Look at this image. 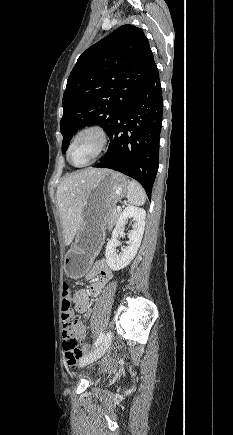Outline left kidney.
<instances>
[{
  "instance_id": "obj_1",
  "label": "left kidney",
  "mask_w": 233,
  "mask_h": 435,
  "mask_svg": "<svg viewBox=\"0 0 233 435\" xmlns=\"http://www.w3.org/2000/svg\"><path fill=\"white\" fill-rule=\"evenodd\" d=\"M128 218H132L134 222L132 230L128 233V246L123 248L120 254H117V247L119 245L117 238ZM145 218V210L135 206H127L120 214L116 227L112 232V238L107 243L105 252L107 264L112 270L118 271L123 269L135 257L142 241Z\"/></svg>"
}]
</instances>
